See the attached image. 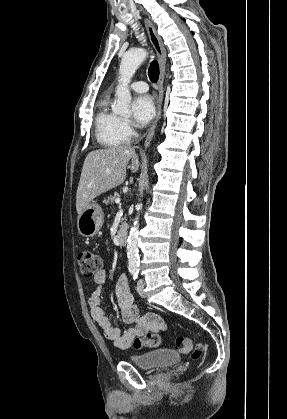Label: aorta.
Instances as JSON below:
<instances>
[{
    "instance_id": "obj_1",
    "label": "aorta",
    "mask_w": 287,
    "mask_h": 419,
    "mask_svg": "<svg viewBox=\"0 0 287 419\" xmlns=\"http://www.w3.org/2000/svg\"><path fill=\"white\" fill-rule=\"evenodd\" d=\"M147 52L142 48L127 51L121 60L119 67V84L116 88L117 102L113 107L116 114L128 116L130 114L131 93L129 83L140 64L146 59ZM138 209L142 208V204L137 205ZM139 213L135 218L134 224L130 229L127 239V258L130 271H138L139 268Z\"/></svg>"
}]
</instances>
